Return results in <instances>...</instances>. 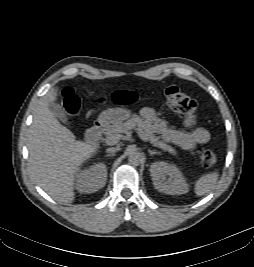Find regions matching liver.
<instances>
[{"label":"liver","instance_id":"6515ba94","mask_svg":"<svg viewBox=\"0 0 254 267\" xmlns=\"http://www.w3.org/2000/svg\"><path fill=\"white\" fill-rule=\"evenodd\" d=\"M57 90L49 91L34 110L28 135L30 172L37 184L54 200L67 205L75 198V177L96 148L76 140L49 110Z\"/></svg>","mask_w":254,"mask_h":267}]
</instances>
